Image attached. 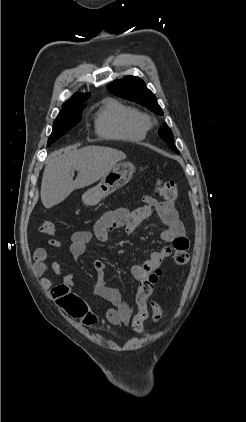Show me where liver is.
<instances>
[{
  "mask_svg": "<svg viewBox=\"0 0 246 422\" xmlns=\"http://www.w3.org/2000/svg\"><path fill=\"white\" fill-rule=\"evenodd\" d=\"M126 155L119 150L87 146L79 150L68 147L54 152L46 163L41 201L49 209L65 200L75 189L89 186L104 177ZM78 175L73 181L71 173Z\"/></svg>",
  "mask_w": 246,
  "mask_h": 422,
  "instance_id": "6515ba94",
  "label": "liver"
}]
</instances>
